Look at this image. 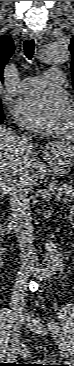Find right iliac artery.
Segmentation results:
<instances>
[{"mask_svg": "<svg viewBox=\"0 0 74 366\" xmlns=\"http://www.w3.org/2000/svg\"><path fill=\"white\" fill-rule=\"evenodd\" d=\"M9 356H15L17 355V352H16V348L13 346V348L11 349L10 353L8 354Z\"/></svg>", "mask_w": 74, "mask_h": 366, "instance_id": "1", "label": "right iliac artery"}]
</instances>
